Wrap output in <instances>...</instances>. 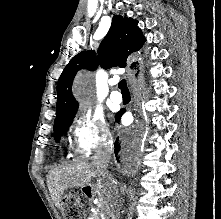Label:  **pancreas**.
<instances>
[{
	"label": "pancreas",
	"mask_w": 221,
	"mask_h": 219,
	"mask_svg": "<svg viewBox=\"0 0 221 219\" xmlns=\"http://www.w3.org/2000/svg\"><path fill=\"white\" fill-rule=\"evenodd\" d=\"M91 217L90 219H100V213L98 210H96L95 212L91 213Z\"/></svg>",
	"instance_id": "pancreas-1"
}]
</instances>
